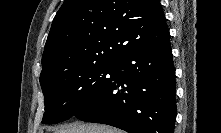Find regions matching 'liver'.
<instances>
[{"instance_id": "6515ba94", "label": "liver", "mask_w": 221, "mask_h": 133, "mask_svg": "<svg viewBox=\"0 0 221 133\" xmlns=\"http://www.w3.org/2000/svg\"><path fill=\"white\" fill-rule=\"evenodd\" d=\"M54 133H122L121 130L111 128L106 125L83 124L74 122L63 125L54 130Z\"/></svg>"}]
</instances>
